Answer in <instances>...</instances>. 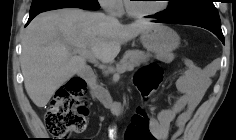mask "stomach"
<instances>
[{"label": "stomach", "mask_w": 236, "mask_h": 140, "mask_svg": "<svg viewBox=\"0 0 236 140\" xmlns=\"http://www.w3.org/2000/svg\"><path fill=\"white\" fill-rule=\"evenodd\" d=\"M140 40L143 46L156 55H166L180 45L179 35L170 27L154 24L141 33Z\"/></svg>", "instance_id": "stomach-1"}]
</instances>
